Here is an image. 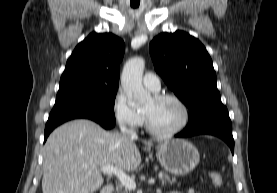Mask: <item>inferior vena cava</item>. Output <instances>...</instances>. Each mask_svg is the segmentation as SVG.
I'll use <instances>...</instances> for the list:
<instances>
[{
  "mask_svg": "<svg viewBox=\"0 0 277 193\" xmlns=\"http://www.w3.org/2000/svg\"><path fill=\"white\" fill-rule=\"evenodd\" d=\"M120 130H121L122 134L128 135L132 139L137 138L136 132L134 130L127 129L126 126L123 123L120 124Z\"/></svg>",
  "mask_w": 277,
  "mask_h": 193,
  "instance_id": "obj_1",
  "label": "inferior vena cava"
}]
</instances>
